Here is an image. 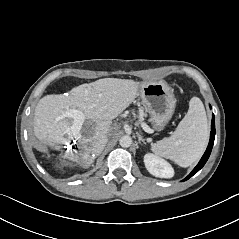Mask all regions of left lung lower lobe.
<instances>
[{"label": "left lung lower lobe", "mask_w": 239, "mask_h": 239, "mask_svg": "<svg viewBox=\"0 0 239 239\" xmlns=\"http://www.w3.org/2000/svg\"><path fill=\"white\" fill-rule=\"evenodd\" d=\"M214 139H215V117L213 114L212 121H211L210 141H209L208 147H207L204 155L202 156L201 160L197 164V166L193 169V171L183 181L188 180L190 177H192L194 174H196L205 165V163L207 162V160L210 156V153H211V150H212V147L214 144Z\"/></svg>", "instance_id": "left-lung-lower-lobe-1"}]
</instances>
